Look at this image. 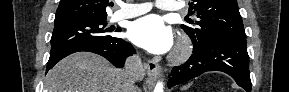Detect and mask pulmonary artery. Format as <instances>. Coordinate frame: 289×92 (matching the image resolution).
<instances>
[{"label": "pulmonary artery", "mask_w": 289, "mask_h": 92, "mask_svg": "<svg viewBox=\"0 0 289 92\" xmlns=\"http://www.w3.org/2000/svg\"><path fill=\"white\" fill-rule=\"evenodd\" d=\"M156 6L165 11H179L180 6L170 0H158ZM152 8L151 3L123 4L121 9L115 12L111 18L113 22L133 18L147 13Z\"/></svg>", "instance_id": "pulmonary-artery-1"}]
</instances>
